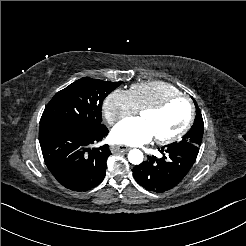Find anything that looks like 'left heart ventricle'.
<instances>
[{"instance_id": "left-heart-ventricle-1", "label": "left heart ventricle", "mask_w": 246, "mask_h": 246, "mask_svg": "<svg viewBox=\"0 0 246 246\" xmlns=\"http://www.w3.org/2000/svg\"><path fill=\"white\" fill-rule=\"evenodd\" d=\"M188 104L184 99H176L160 112H144L139 115L149 128L154 137L164 138L180 130L188 116Z\"/></svg>"}]
</instances>
